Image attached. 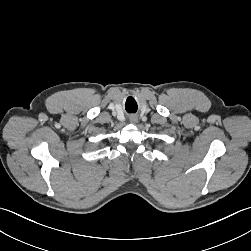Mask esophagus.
I'll return each instance as SVG.
<instances>
[{"mask_svg": "<svg viewBox=\"0 0 251 251\" xmlns=\"http://www.w3.org/2000/svg\"><path fill=\"white\" fill-rule=\"evenodd\" d=\"M137 121V118L135 116L130 117V122L135 123Z\"/></svg>", "mask_w": 251, "mask_h": 251, "instance_id": "1", "label": "esophagus"}]
</instances>
